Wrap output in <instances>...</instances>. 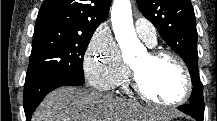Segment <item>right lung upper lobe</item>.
Wrapping results in <instances>:
<instances>
[{
	"mask_svg": "<svg viewBox=\"0 0 217 121\" xmlns=\"http://www.w3.org/2000/svg\"><path fill=\"white\" fill-rule=\"evenodd\" d=\"M110 0H44L36 26L57 25L79 32H95L108 16Z\"/></svg>",
	"mask_w": 217,
	"mask_h": 121,
	"instance_id": "cb5924a9",
	"label": "right lung upper lobe"
}]
</instances>
